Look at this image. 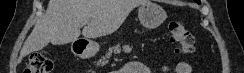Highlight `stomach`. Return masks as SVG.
I'll list each match as a JSON object with an SVG mask.
<instances>
[{
	"mask_svg": "<svg viewBox=\"0 0 244 73\" xmlns=\"http://www.w3.org/2000/svg\"><path fill=\"white\" fill-rule=\"evenodd\" d=\"M138 17L144 27L153 29L163 23L167 14L160 5L147 1L139 7ZM72 49H74L73 45ZM98 51L99 45L97 43L90 42L85 49L79 53L77 52V54L82 58H90L96 55Z\"/></svg>",
	"mask_w": 244,
	"mask_h": 73,
	"instance_id": "stomach-1",
	"label": "stomach"
}]
</instances>
